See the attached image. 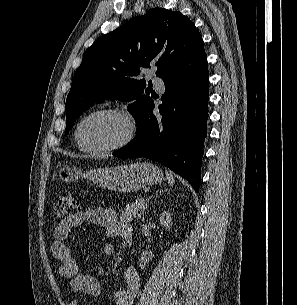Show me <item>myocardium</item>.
<instances>
[{"mask_svg": "<svg viewBox=\"0 0 297 305\" xmlns=\"http://www.w3.org/2000/svg\"><path fill=\"white\" fill-rule=\"evenodd\" d=\"M103 114H108V115H114L116 117H119L120 119L123 120V122L126 125V133L124 137L108 146H101V147H87L84 146L80 137V130L83 125V123L88 120L89 118L96 116V115H103ZM136 132V125L135 122L131 116L130 113H128L125 110L115 108V107H104V108H98L95 109L86 115H84L76 124L75 130H74V137L77 142L78 147L80 150L86 152V153H92V154H103V153H110L114 152L117 150H120L127 146L134 138Z\"/></svg>", "mask_w": 297, "mask_h": 305, "instance_id": "myocardium-1", "label": "myocardium"}]
</instances>
